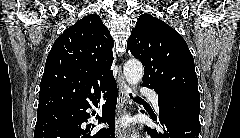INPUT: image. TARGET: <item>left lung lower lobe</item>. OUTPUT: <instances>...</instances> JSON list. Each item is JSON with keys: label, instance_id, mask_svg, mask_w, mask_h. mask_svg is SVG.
Returning a JSON list of instances; mask_svg holds the SVG:
<instances>
[{"label": "left lung lower lobe", "instance_id": "obj_1", "mask_svg": "<svg viewBox=\"0 0 240 138\" xmlns=\"http://www.w3.org/2000/svg\"><path fill=\"white\" fill-rule=\"evenodd\" d=\"M199 100L200 95L193 93L158 95L160 111L158 124L163 131L146 126L147 133L153 138H198L201 131Z\"/></svg>", "mask_w": 240, "mask_h": 138}]
</instances>
